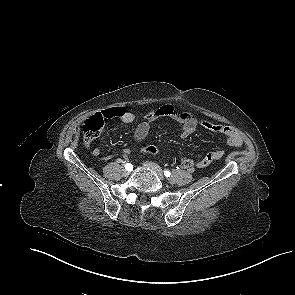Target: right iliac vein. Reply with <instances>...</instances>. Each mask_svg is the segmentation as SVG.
<instances>
[{"mask_svg": "<svg viewBox=\"0 0 295 295\" xmlns=\"http://www.w3.org/2000/svg\"><path fill=\"white\" fill-rule=\"evenodd\" d=\"M129 174H130V172H129V171H127V170H124V171H123V176H124V177H128V176H129Z\"/></svg>", "mask_w": 295, "mask_h": 295, "instance_id": "1", "label": "right iliac vein"}]
</instances>
